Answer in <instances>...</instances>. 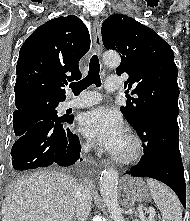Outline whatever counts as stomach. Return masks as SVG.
<instances>
[{"label":"stomach","instance_id":"stomach-1","mask_svg":"<svg viewBox=\"0 0 190 221\" xmlns=\"http://www.w3.org/2000/svg\"><path fill=\"white\" fill-rule=\"evenodd\" d=\"M122 186L125 196L133 201L146 202L151 198L150 189L141 178H125Z\"/></svg>","mask_w":190,"mask_h":221}]
</instances>
